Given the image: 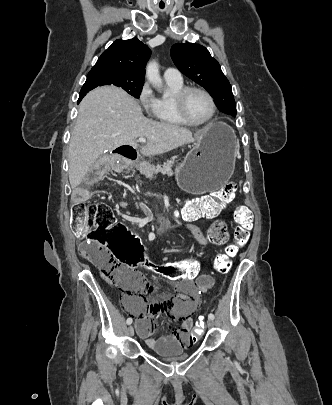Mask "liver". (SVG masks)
I'll return each instance as SVG.
<instances>
[{"mask_svg": "<svg viewBox=\"0 0 332 405\" xmlns=\"http://www.w3.org/2000/svg\"><path fill=\"white\" fill-rule=\"evenodd\" d=\"M201 134L197 132L193 136L186 128L149 120L137 101L123 90L114 86L98 87L79 106L68 149L70 185L75 189L104 151L135 145L138 137L147 139L141 153L155 156L194 142ZM105 160L110 162L109 157Z\"/></svg>", "mask_w": 332, "mask_h": 405, "instance_id": "obj_1", "label": "liver"}]
</instances>
